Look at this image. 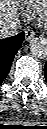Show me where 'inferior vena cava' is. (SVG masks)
I'll return each instance as SVG.
<instances>
[{"mask_svg": "<svg viewBox=\"0 0 47 129\" xmlns=\"http://www.w3.org/2000/svg\"><path fill=\"white\" fill-rule=\"evenodd\" d=\"M20 27V21L18 19L11 20L6 24L0 26V37L7 38L18 34Z\"/></svg>", "mask_w": 47, "mask_h": 129, "instance_id": "602c4592", "label": "inferior vena cava"}]
</instances>
